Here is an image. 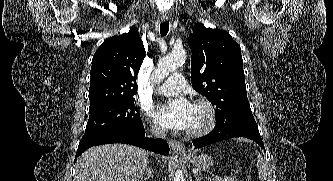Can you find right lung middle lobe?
<instances>
[{"label":"right lung middle lobe","mask_w":333,"mask_h":181,"mask_svg":"<svg viewBox=\"0 0 333 181\" xmlns=\"http://www.w3.org/2000/svg\"><path fill=\"white\" fill-rule=\"evenodd\" d=\"M83 139L125 133L142 125L134 98L122 99L104 105L89 108Z\"/></svg>","instance_id":"dd1d6c3e"}]
</instances>
